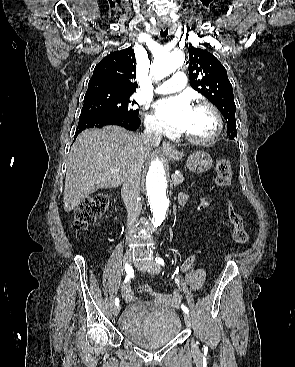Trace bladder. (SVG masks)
I'll use <instances>...</instances> for the list:
<instances>
[{
  "mask_svg": "<svg viewBox=\"0 0 295 367\" xmlns=\"http://www.w3.org/2000/svg\"><path fill=\"white\" fill-rule=\"evenodd\" d=\"M119 326L131 342L152 349L171 342L181 330V320L174 309L142 300L125 308Z\"/></svg>",
  "mask_w": 295,
  "mask_h": 367,
  "instance_id": "bladder-1",
  "label": "bladder"
}]
</instances>
